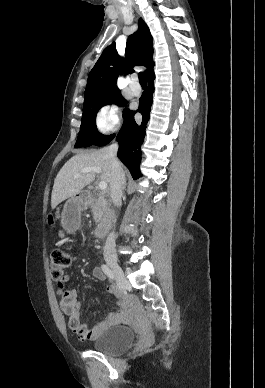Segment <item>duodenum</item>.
Returning a JSON list of instances; mask_svg holds the SVG:
<instances>
[{
  "label": "duodenum",
  "mask_w": 265,
  "mask_h": 388,
  "mask_svg": "<svg viewBox=\"0 0 265 388\" xmlns=\"http://www.w3.org/2000/svg\"><path fill=\"white\" fill-rule=\"evenodd\" d=\"M95 197H96L95 193L89 190H84L78 194V200L80 201V203L84 205L90 204L95 199ZM112 222H113V214L108 213L103 217V219L98 224L96 228V235L98 237H104L107 234Z\"/></svg>",
  "instance_id": "1"
}]
</instances>
